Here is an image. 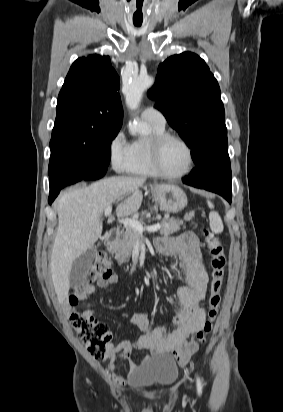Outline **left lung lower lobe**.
I'll return each mask as SVG.
<instances>
[{
    "instance_id": "obj_1",
    "label": "left lung lower lobe",
    "mask_w": 283,
    "mask_h": 412,
    "mask_svg": "<svg viewBox=\"0 0 283 412\" xmlns=\"http://www.w3.org/2000/svg\"><path fill=\"white\" fill-rule=\"evenodd\" d=\"M197 167L183 179L185 184L215 192L231 202L230 160L222 150H216L205 162H197Z\"/></svg>"
}]
</instances>
